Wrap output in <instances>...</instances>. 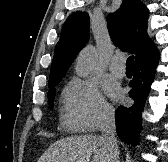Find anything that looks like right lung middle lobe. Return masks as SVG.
Segmentation results:
<instances>
[{"instance_id":"dd1d6c3e","label":"right lung middle lobe","mask_w":168,"mask_h":162,"mask_svg":"<svg viewBox=\"0 0 168 162\" xmlns=\"http://www.w3.org/2000/svg\"><path fill=\"white\" fill-rule=\"evenodd\" d=\"M60 81L54 82L49 84V91H48V102H49V106L50 109L53 108L54 105V98H55V88L54 86H56Z\"/></svg>"}]
</instances>
